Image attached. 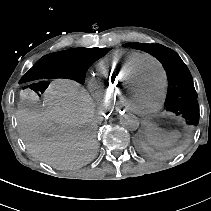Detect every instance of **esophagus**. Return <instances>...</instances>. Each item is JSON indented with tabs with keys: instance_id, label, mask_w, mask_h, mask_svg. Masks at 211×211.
Returning a JSON list of instances; mask_svg holds the SVG:
<instances>
[{
	"instance_id": "1",
	"label": "esophagus",
	"mask_w": 211,
	"mask_h": 211,
	"mask_svg": "<svg viewBox=\"0 0 211 211\" xmlns=\"http://www.w3.org/2000/svg\"><path fill=\"white\" fill-rule=\"evenodd\" d=\"M125 113H126V110L123 107H118V108L114 109V111H113V114L116 117L123 116V115H125Z\"/></svg>"
}]
</instances>
